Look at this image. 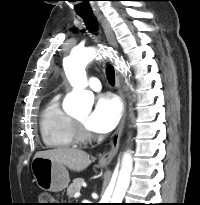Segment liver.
I'll use <instances>...</instances> for the list:
<instances>
[{
	"label": "liver",
	"mask_w": 200,
	"mask_h": 205,
	"mask_svg": "<svg viewBox=\"0 0 200 205\" xmlns=\"http://www.w3.org/2000/svg\"><path fill=\"white\" fill-rule=\"evenodd\" d=\"M35 157L49 158L76 172L85 170L91 164L89 154L82 150L68 147L39 151L35 154Z\"/></svg>",
	"instance_id": "obj_1"
}]
</instances>
